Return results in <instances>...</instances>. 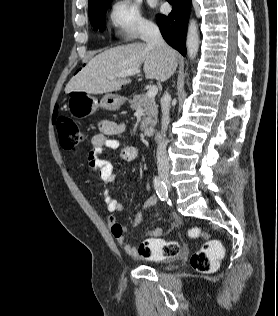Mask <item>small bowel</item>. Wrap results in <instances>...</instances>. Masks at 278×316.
<instances>
[{
    "instance_id": "1",
    "label": "small bowel",
    "mask_w": 278,
    "mask_h": 316,
    "mask_svg": "<svg viewBox=\"0 0 278 316\" xmlns=\"http://www.w3.org/2000/svg\"><path fill=\"white\" fill-rule=\"evenodd\" d=\"M98 127L100 132L95 134L91 138L92 150L88 153L86 157L87 167L96 172L99 180L107 185L113 182L117 177V171L114 169L111 162L101 158L100 155L104 153L107 149L119 150L120 157L126 162H133L138 158L139 151L135 146L122 145L121 142L112 138V136L119 135L124 132L125 124L121 121H111L103 119L99 121ZM149 188V186H147ZM107 210L110 212L108 216L107 223L111 230V233L115 237L117 243L122 246L124 251L131 256H141L136 247H133L126 241L127 228L119 224L114 213L121 212L123 210V205L116 198L111 196L108 188H105L102 192ZM158 198L155 195L150 196L143 204L142 209L137 213L134 220V227L140 226L143 220L144 213L150 207L156 205ZM174 223L179 225L180 219L174 217ZM163 230L161 227L151 228L147 231V236L151 239H155L161 236Z\"/></svg>"
}]
</instances>
